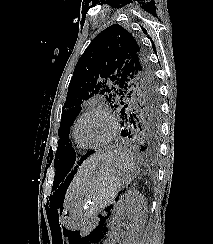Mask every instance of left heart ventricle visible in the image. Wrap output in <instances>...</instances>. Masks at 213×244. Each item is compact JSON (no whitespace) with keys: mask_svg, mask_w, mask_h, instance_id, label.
Listing matches in <instances>:
<instances>
[{"mask_svg":"<svg viewBox=\"0 0 213 244\" xmlns=\"http://www.w3.org/2000/svg\"><path fill=\"white\" fill-rule=\"evenodd\" d=\"M110 126L102 114H91L78 125L77 135L81 142L87 145L101 143L109 134Z\"/></svg>","mask_w":213,"mask_h":244,"instance_id":"left-heart-ventricle-1","label":"left heart ventricle"}]
</instances>
